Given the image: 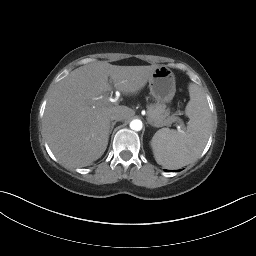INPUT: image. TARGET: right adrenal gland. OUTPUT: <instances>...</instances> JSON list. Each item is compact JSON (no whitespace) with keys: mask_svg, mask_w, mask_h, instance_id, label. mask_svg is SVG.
<instances>
[{"mask_svg":"<svg viewBox=\"0 0 256 256\" xmlns=\"http://www.w3.org/2000/svg\"><path fill=\"white\" fill-rule=\"evenodd\" d=\"M116 123H117V121H114V122L111 123L109 134L112 133L113 128H114V126H115Z\"/></svg>","mask_w":256,"mask_h":256,"instance_id":"obj_1","label":"right adrenal gland"}]
</instances>
